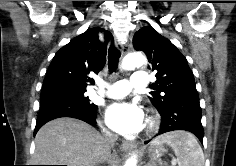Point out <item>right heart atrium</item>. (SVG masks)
Segmentation results:
<instances>
[{
    "label": "right heart atrium",
    "instance_id": "1",
    "mask_svg": "<svg viewBox=\"0 0 236 166\" xmlns=\"http://www.w3.org/2000/svg\"><path fill=\"white\" fill-rule=\"evenodd\" d=\"M101 125H102V122H101ZM102 128H103V130H104V132H105L106 134H109V132L107 131L106 128H104L103 126H102Z\"/></svg>",
    "mask_w": 236,
    "mask_h": 166
}]
</instances>
